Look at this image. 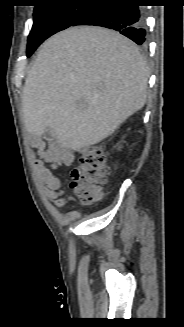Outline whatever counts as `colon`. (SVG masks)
Wrapping results in <instances>:
<instances>
[{"label": "colon", "mask_w": 184, "mask_h": 327, "mask_svg": "<svg viewBox=\"0 0 184 327\" xmlns=\"http://www.w3.org/2000/svg\"><path fill=\"white\" fill-rule=\"evenodd\" d=\"M109 177V167L103 149L88 148L78 166L71 173L70 188L82 203H92L102 194V187Z\"/></svg>", "instance_id": "1"}]
</instances>
